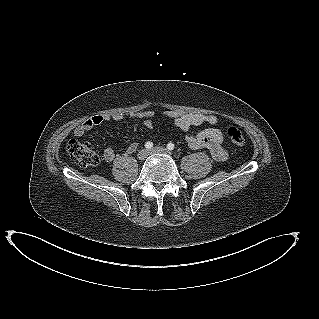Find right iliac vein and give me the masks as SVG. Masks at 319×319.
<instances>
[{"mask_svg":"<svg viewBox=\"0 0 319 319\" xmlns=\"http://www.w3.org/2000/svg\"><path fill=\"white\" fill-rule=\"evenodd\" d=\"M148 154H149V152H148L147 149H142V150H140V151L138 152L137 157H138L139 160L142 161V160H145V159H146V157L148 156Z\"/></svg>","mask_w":319,"mask_h":319,"instance_id":"63e3f726","label":"right iliac vein"}]
</instances>
